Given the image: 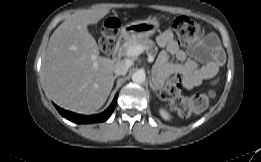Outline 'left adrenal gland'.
<instances>
[{"label":"left adrenal gland","mask_w":261,"mask_h":162,"mask_svg":"<svg viewBox=\"0 0 261 162\" xmlns=\"http://www.w3.org/2000/svg\"><path fill=\"white\" fill-rule=\"evenodd\" d=\"M150 87L151 89L156 93L157 97H159L161 99V97L158 95L156 89L154 88V86L152 85L151 81H150Z\"/></svg>","instance_id":"a2214340"}]
</instances>
